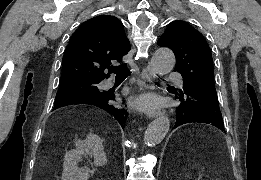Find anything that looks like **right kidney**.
I'll return each instance as SVG.
<instances>
[{"label": "right kidney", "instance_id": "1", "mask_svg": "<svg viewBox=\"0 0 261 180\" xmlns=\"http://www.w3.org/2000/svg\"><path fill=\"white\" fill-rule=\"evenodd\" d=\"M75 150L67 152L64 156L63 176L62 180H81L89 178V170L87 168H78L77 162L83 156H92L94 166H105L107 158L105 156L102 140L95 134H88L86 140H76Z\"/></svg>", "mask_w": 261, "mask_h": 180}]
</instances>
